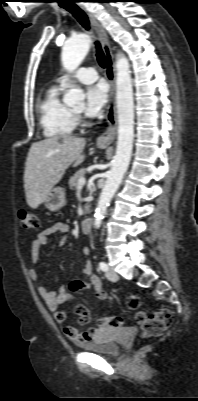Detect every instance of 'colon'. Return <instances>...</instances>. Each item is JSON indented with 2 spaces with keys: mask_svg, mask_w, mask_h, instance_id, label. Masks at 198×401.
I'll use <instances>...</instances> for the list:
<instances>
[{
  "mask_svg": "<svg viewBox=\"0 0 198 401\" xmlns=\"http://www.w3.org/2000/svg\"><path fill=\"white\" fill-rule=\"evenodd\" d=\"M19 219L24 229L35 230L39 227V221L36 214L28 210L19 212ZM69 288L75 290L76 284L71 283ZM126 305L130 310L137 311L135 320L142 324V335L145 338L160 336L172 323L173 315L168 308H159L152 313H147L144 310H139L141 305L140 297L136 294H131L126 299ZM79 315L80 322L85 324L89 320L88 310L82 306L75 309ZM99 324L104 327H122L124 319L121 317H103L99 319Z\"/></svg>",
  "mask_w": 198,
  "mask_h": 401,
  "instance_id": "1",
  "label": "colon"
}]
</instances>
